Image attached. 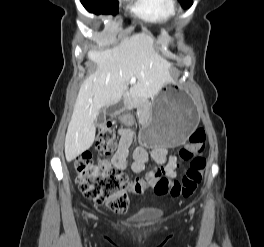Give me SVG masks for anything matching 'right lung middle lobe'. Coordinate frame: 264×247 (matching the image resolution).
<instances>
[{"mask_svg":"<svg viewBox=\"0 0 264 247\" xmlns=\"http://www.w3.org/2000/svg\"><path fill=\"white\" fill-rule=\"evenodd\" d=\"M83 6L94 14H116L118 11L117 0H81Z\"/></svg>","mask_w":264,"mask_h":247,"instance_id":"right-lung-middle-lobe-1","label":"right lung middle lobe"}]
</instances>
